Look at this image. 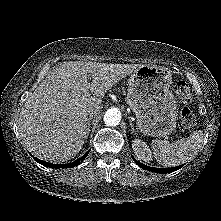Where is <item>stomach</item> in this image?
<instances>
[{
  "instance_id": "1",
  "label": "stomach",
  "mask_w": 221,
  "mask_h": 221,
  "mask_svg": "<svg viewBox=\"0 0 221 221\" xmlns=\"http://www.w3.org/2000/svg\"><path fill=\"white\" fill-rule=\"evenodd\" d=\"M171 84V72L161 66L142 65L128 79L126 100L144 135L166 137L175 130L177 102Z\"/></svg>"
}]
</instances>
